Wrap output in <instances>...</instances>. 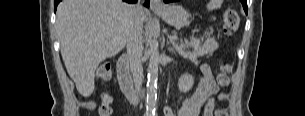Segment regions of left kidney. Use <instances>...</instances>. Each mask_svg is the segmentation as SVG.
I'll return each mask as SVG.
<instances>
[{"label":"left kidney","instance_id":"1","mask_svg":"<svg viewBox=\"0 0 305 116\" xmlns=\"http://www.w3.org/2000/svg\"><path fill=\"white\" fill-rule=\"evenodd\" d=\"M194 84L193 76L185 73L181 75V77L178 80V88L180 92L186 93L188 92Z\"/></svg>","mask_w":305,"mask_h":116}]
</instances>
